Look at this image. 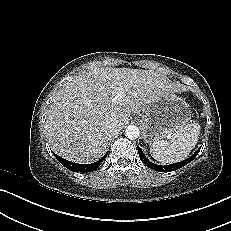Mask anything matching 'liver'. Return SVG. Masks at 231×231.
<instances>
[{"instance_id": "1", "label": "liver", "mask_w": 231, "mask_h": 231, "mask_svg": "<svg viewBox=\"0 0 231 231\" xmlns=\"http://www.w3.org/2000/svg\"><path fill=\"white\" fill-rule=\"evenodd\" d=\"M153 70L101 67L81 74L60 88L47 112L45 130L52 150L63 158L92 163L101 158L111 135L106 127L121 128L131 113L145 112L159 95L180 92ZM123 92L121 102L113 98Z\"/></svg>"}]
</instances>
